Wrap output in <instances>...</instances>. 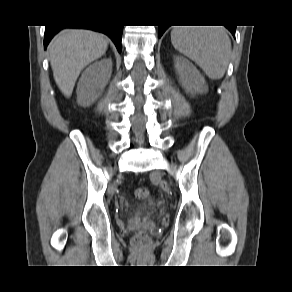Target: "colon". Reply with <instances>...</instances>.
<instances>
[{
	"instance_id": "obj_1",
	"label": "colon",
	"mask_w": 292,
	"mask_h": 292,
	"mask_svg": "<svg viewBox=\"0 0 292 292\" xmlns=\"http://www.w3.org/2000/svg\"><path fill=\"white\" fill-rule=\"evenodd\" d=\"M150 195V191L147 187H138L135 190V196L138 199L144 200L147 199ZM145 240V234L143 232L137 233L134 237V242L135 243H142Z\"/></svg>"
}]
</instances>
